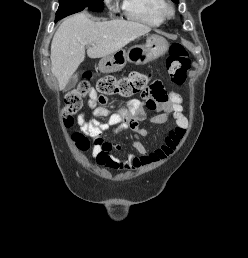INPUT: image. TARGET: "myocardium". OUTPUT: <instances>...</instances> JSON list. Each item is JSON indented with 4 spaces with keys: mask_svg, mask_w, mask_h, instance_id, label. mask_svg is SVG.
<instances>
[{
    "mask_svg": "<svg viewBox=\"0 0 248 258\" xmlns=\"http://www.w3.org/2000/svg\"><path fill=\"white\" fill-rule=\"evenodd\" d=\"M161 11L164 17H170L174 14V7L169 1L162 0Z\"/></svg>",
    "mask_w": 248,
    "mask_h": 258,
    "instance_id": "1",
    "label": "myocardium"
}]
</instances>
